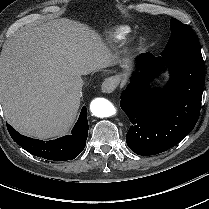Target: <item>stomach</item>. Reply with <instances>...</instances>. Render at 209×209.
Instances as JSON below:
<instances>
[{"label": "stomach", "instance_id": "obj_1", "mask_svg": "<svg viewBox=\"0 0 209 209\" xmlns=\"http://www.w3.org/2000/svg\"><path fill=\"white\" fill-rule=\"evenodd\" d=\"M129 58L128 56H126L123 60H122V67L124 68V72L120 73L119 75L116 76V78L118 80L124 79L127 77L130 65L128 62Z\"/></svg>", "mask_w": 209, "mask_h": 209}]
</instances>
